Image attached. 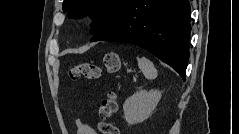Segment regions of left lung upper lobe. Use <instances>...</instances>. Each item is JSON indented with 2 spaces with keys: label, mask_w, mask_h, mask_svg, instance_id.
Listing matches in <instances>:
<instances>
[{
  "label": "left lung upper lobe",
  "mask_w": 239,
  "mask_h": 134,
  "mask_svg": "<svg viewBox=\"0 0 239 134\" xmlns=\"http://www.w3.org/2000/svg\"><path fill=\"white\" fill-rule=\"evenodd\" d=\"M126 0H64L62 9L69 18L90 15L94 20L91 34L96 35L107 28L116 18Z\"/></svg>",
  "instance_id": "1"
}]
</instances>
